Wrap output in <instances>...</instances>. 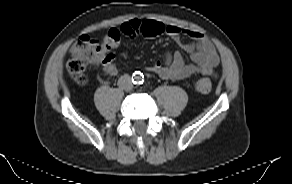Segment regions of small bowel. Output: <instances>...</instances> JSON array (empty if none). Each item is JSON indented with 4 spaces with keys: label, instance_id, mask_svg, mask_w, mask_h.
Wrapping results in <instances>:
<instances>
[{
    "label": "small bowel",
    "instance_id": "c3829d8e",
    "mask_svg": "<svg viewBox=\"0 0 292 184\" xmlns=\"http://www.w3.org/2000/svg\"><path fill=\"white\" fill-rule=\"evenodd\" d=\"M145 20L131 19L124 22L119 30L121 34L131 39L142 34ZM161 23V22H160ZM163 34L175 41H180V35L184 34L190 38V42L184 43L183 48L190 54L191 63H186L180 53L167 54L164 63L155 62L147 67L149 72L157 74L162 79L182 80L193 74L214 75L219 65L220 58L214 44L204 34L191 30L182 29L173 24H163ZM116 56L109 51H99L95 54L93 62L102 68L108 77H115L119 70L115 64Z\"/></svg>",
    "mask_w": 292,
    "mask_h": 184
}]
</instances>
